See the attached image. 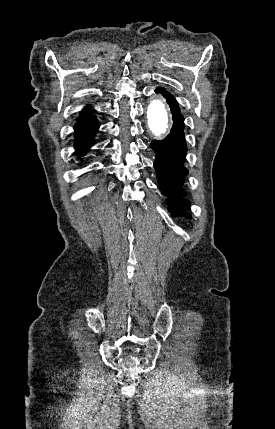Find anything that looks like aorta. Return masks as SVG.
Returning a JSON list of instances; mask_svg holds the SVG:
<instances>
[{"mask_svg":"<svg viewBox=\"0 0 275 429\" xmlns=\"http://www.w3.org/2000/svg\"><path fill=\"white\" fill-rule=\"evenodd\" d=\"M146 116L148 127L155 136H162L167 132L170 124V111L161 96L155 95L150 98Z\"/></svg>","mask_w":275,"mask_h":429,"instance_id":"1","label":"aorta"}]
</instances>
